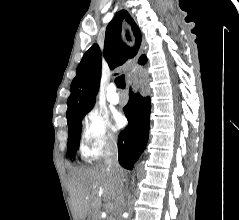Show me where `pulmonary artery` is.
<instances>
[{
    "label": "pulmonary artery",
    "instance_id": "1",
    "mask_svg": "<svg viewBox=\"0 0 239 220\" xmlns=\"http://www.w3.org/2000/svg\"><path fill=\"white\" fill-rule=\"evenodd\" d=\"M107 100L112 104H117L120 101V96L114 83L109 84L107 88Z\"/></svg>",
    "mask_w": 239,
    "mask_h": 220
}]
</instances>
